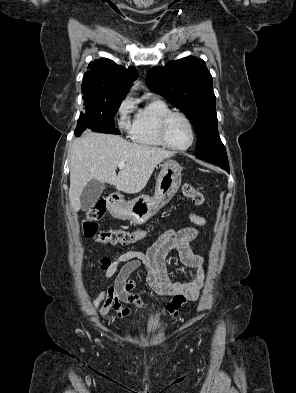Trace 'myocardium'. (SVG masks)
Instances as JSON below:
<instances>
[{
	"mask_svg": "<svg viewBox=\"0 0 296 393\" xmlns=\"http://www.w3.org/2000/svg\"><path fill=\"white\" fill-rule=\"evenodd\" d=\"M174 117H180V118H182L183 120H185V122L187 123V125H188V127H189V129H190L191 140H190L189 144L186 145V146H184V147H177V146H174V145L171 144L170 141L168 140V137H167V128H168V125H169L170 121H171ZM159 137H160L162 143H163L166 147H168L169 149H172V150H175V151H186V150L190 149V148L193 146V144H194V142H195V139H196V132H195V128H194V125H193L192 121L190 120V118H189L186 114H184V113H182V112H179V111H171V112L167 113V114L162 118V120H161V122H160V125H159Z\"/></svg>",
	"mask_w": 296,
	"mask_h": 393,
	"instance_id": "1",
	"label": "myocardium"
}]
</instances>
